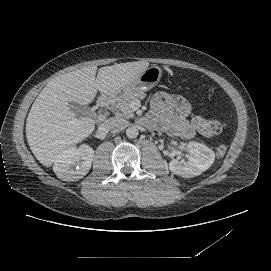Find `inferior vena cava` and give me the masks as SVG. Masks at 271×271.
Returning a JSON list of instances; mask_svg holds the SVG:
<instances>
[{
  "label": "inferior vena cava",
  "mask_w": 271,
  "mask_h": 271,
  "mask_svg": "<svg viewBox=\"0 0 271 271\" xmlns=\"http://www.w3.org/2000/svg\"><path fill=\"white\" fill-rule=\"evenodd\" d=\"M105 126L113 133H120L127 126V122L122 118H112L108 120Z\"/></svg>",
  "instance_id": "1"
}]
</instances>
